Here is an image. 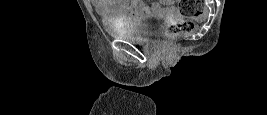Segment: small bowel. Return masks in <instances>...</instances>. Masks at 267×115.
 I'll use <instances>...</instances> for the list:
<instances>
[{
    "label": "small bowel",
    "instance_id": "c3829d8e",
    "mask_svg": "<svg viewBox=\"0 0 267 115\" xmlns=\"http://www.w3.org/2000/svg\"><path fill=\"white\" fill-rule=\"evenodd\" d=\"M96 11L102 15H113L121 20H137L147 13L170 15L175 12L174 3L162 1L144 3L141 0H92Z\"/></svg>",
    "mask_w": 267,
    "mask_h": 115
}]
</instances>
